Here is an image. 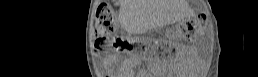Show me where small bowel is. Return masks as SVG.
Returning <instances> with one entry per match:
<instances>
[{"instance_id":"1","label":"small bowel","mask_w":258,"mask_h":77,"mask_svg":"<svg viewBox=\"0 0 258 77\" xmlns=\"http://www.w3.org/2000/svg\"><path fill=\"white\" fill-rule=\"evenodd\" d=\"M137 59L135 58H128L123 60L122 62V69L124 70H132L134 66L137 64ZM131 71H123L122 73H130Z\"/></svg>"}]
</instances>
